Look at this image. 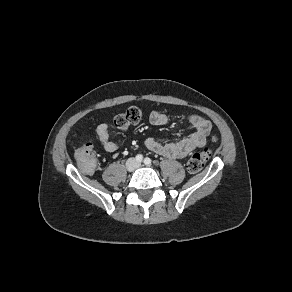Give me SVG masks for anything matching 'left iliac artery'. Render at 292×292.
Wrapping results in <instances>:
<instances>
[{
  "label": "left iliac artery",
  "mask_w": 292,
  "mask_h": 292,
  "mask_svg": "<svg viewBox=\"0 0 292 292\" xmlns=\"http://www.w3.org/2000/svg\"><path fill=\"white\" fill-rule=\"evenodd\" d=\"M151 162H152V160H151L150 158H148V157H146V158L144 159V164H146V165H150Z\"/></svg>",
  "instance_id": "obj_1"
}]
</instances>
